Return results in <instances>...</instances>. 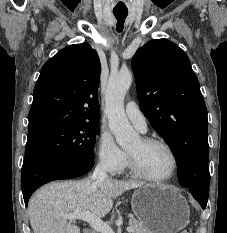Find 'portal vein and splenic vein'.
Returning a JSON list of instances; mask_svg holds the SVG:
<instances>
[{"mask_svg": "<svg viewBox=\"0 0 227 233\" xmlns=\"http://www.w3.org/2000/svg\"><path fill=\"white\" fill-rule=\"evenodd\" d=\"M64 217L70 221L74 219L86 221L91 225V227L94 230L100 233H114L113 229L108 224L103 222L100 218H98L97 216H95L89 211L73 212V213L66 214ZM127 231L132 232L133 229L131 227H128Z\"/></svg>", "mask_w": 227, "mask_h": 233, "instance_id": "1", "label": "portal vein and splenic vein"}]
</instances>
